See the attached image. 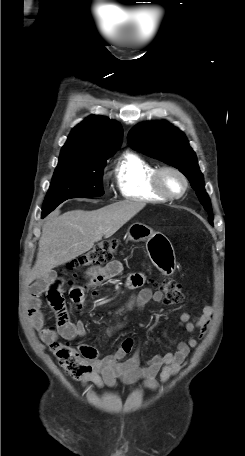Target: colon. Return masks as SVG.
<instances>
[{
	"mask_svg": "<svg viewBox=\"0 0 245 456\" xmlns=\"http://www.w3.org/2000/svg\"><path fill=\"white\" fill-rule=\"evenodd\" d=\"M118 246L119 241L117 239L101 242L85 254L72 260L67 265V270L76 271L84 267L104 266L112 261ZM155 286L164 294V301L167 304L176 305L183 302L184 293L177 281L164 278L160 282H156ZM49 346L61 367L73 378L78 379L90 371V366L84 361L82 352L68 342L54 340Z\"/></svg>",
	"mask_w": 245,
	"mask_h": 456,
	"instance_id": "colon-1",
	"label": "colon"
}]
</instances>
